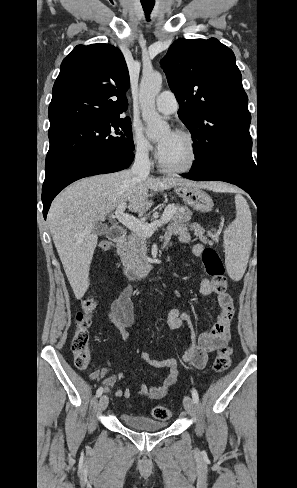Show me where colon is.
I'll use <instances>...</instances> for the list:
<instances>
[{"instance_id":"5ec220e1","label":"colon","mask_w":297,"mask_h":488,"mask_svg":"<svg viewBox=\"0 0 297 488\" xmlns=\"http://www.w3.org/2000/svg\"><path fill=\"white\" fill-rule=\"evenodd\" d=\"M111 248V243L102 242L100 249L107 251ZM203 263L207 274L211 278L213 290L216 293H225L227 289V281L225 278V268L219 254L210 248L204 250L202 254ZM96 307L93 298H88L83 301L81 310L77 312L75 317V332L72 339V352L74 355L75 365L79 369H86L90 364L89 351V327L92 322V312ZM231 363V349L228 346L219 348L214 359L212 369L215 374H222L225 372ZM172 411L164 406H156L152 410L153 418L157 420H167L171 417Z\"/></svg>"}]
</instances>
